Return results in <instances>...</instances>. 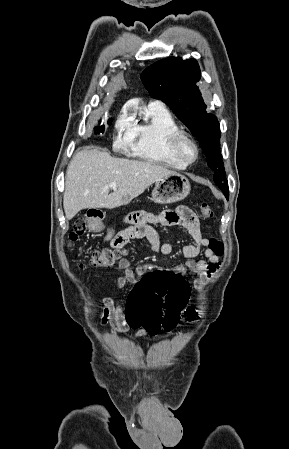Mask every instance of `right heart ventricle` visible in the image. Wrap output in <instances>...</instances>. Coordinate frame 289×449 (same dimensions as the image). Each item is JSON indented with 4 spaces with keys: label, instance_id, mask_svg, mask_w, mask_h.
Instances as JSON below:
<instances>
[{
    "label": "right heart ventricle",
    "instance_id": "1",
    "mask_svg": "<svg viewBox=\"0 0 289 449\" xmlns=\"http://www.w3.org/2000/svg\"><path fill=\"white\" fill-rule=\"evenodd\" d=\"M180 131L172 114L163 105L148 104L133 123L131 152L134 156L183 170L187 164L176 159L170 149L169 137Z\"/></svg>",
    "mask_w": 289,
    "mask_h": 449
}]
</instances>
